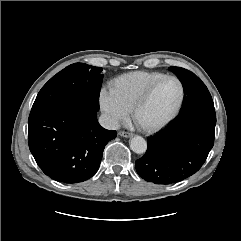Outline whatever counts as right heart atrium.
Wrapping results in <instances>:
<instances>
[{
    "instance_id": "d8ad5b80",
    "label": "right heart atrium",
    "mask_w": 241,
    "mask_h": 241,
    "mask_svg": "<svg viewBox=\"0 0 241 241\" xmlns=\"http://www.w3.org/2000/svg\"><path fill=\"white\" fill-rule=\"evenodd\" d=\"M99 106L110 127H117L129 114V109L118 99L111 88L99 92Z\"/></svg>"
}]
</instances>
